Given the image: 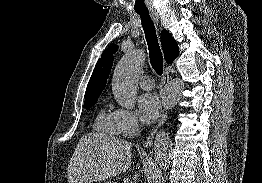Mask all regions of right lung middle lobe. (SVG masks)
<instances>
[{
  "label": "right lung middle lobe",
  "mask_w": 262,
  "mask_h": 183,
  "mask_svg": "<svg viewBox=\"0 0 262 183\" xmlns=\"http://www.w3.org/2000/svg\"><path fill=\"white\" fill-rule=\"evenodd\" d=\"M97 102V99H92V100H85L84 102V108L87 110L91 108L95 103Z\"/></svg>",
  "instance_id": "dd1d6c3e"
}]
</instances>
